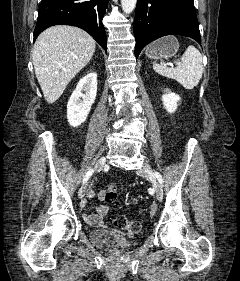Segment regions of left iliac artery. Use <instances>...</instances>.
<instances>
[{
	"instance_id": "44dca946",
	"label": "left iliac artery",
	"mask_w": 240,
	"mask_h": 281,
	"mask_svg": "<svg viewBox=\"0 0 240 281\" xmlns=\"http://www.w3.org/2000/svg\"><path fill=\"white\" fill-rule=\"evenodd\" d=\"M155 176L158 178L160 184L163 185V178H162V176L158 172H155Z\"/></svg>"
}]
</instances>
